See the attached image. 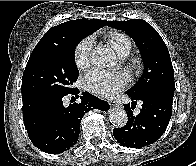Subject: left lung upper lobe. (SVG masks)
Returning a JSON list of instances; mask_svg holds the SVG:
<instances>
[{
  "mask_svg": "<svg viewBox=\"0 0 196 166\" xmlns=\"http://www.w3.org/2000/svg\"><path fill=\"white\" fill-rule=\"evenodd\" d=\"M108 26L125 31L142 55L144 73L126 93L134 98L153 92L174 96V70L168 49L158 32L142 19L110 21Z\"/></svg>",
  "mask_w": 196,
  "mask_h": 166,
  "instance_id": "1",
  "label": "left lung upper lobe"
}]
</instances>
